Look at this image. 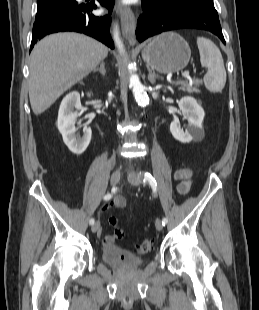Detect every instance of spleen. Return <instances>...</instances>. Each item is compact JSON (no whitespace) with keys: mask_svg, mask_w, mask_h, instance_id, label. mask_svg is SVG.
I'll list each match as a JSON object with an SVG mask.
<instances>
[{"mask_svg":"<svg viewBox=\"0 0 259 310\" xmlns=\"http://www.w3.org/2000/svg\"><path fill=\"white\" fill-rule=\"evenodd\" d=\"M201 65L208 69L203 80L212 93L221 92L226 83V70L219 48L205 37H197Z\"/></svg>","mask_w":259,"mask_h":310,"instance_id":"3e777b00","label":"spleen"}]
</instances>
